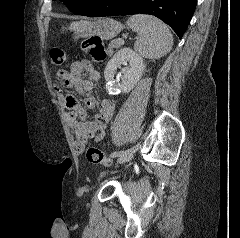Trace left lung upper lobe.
Returning a JSON list of instances; mask_svg holds the SVG:
<instances>
[{
    "mask_svg": "<svg viewBox=\"0 0 240 238\" xmlns=\"http://www.w3.org/2000/svg\"><path fill=\"white\" fill-rule=\"evenodd\" d=\"M66 4V6L74 12H81L88 5H90L94 0H62Z\"/></svg>",
    "mask_w": 240,
    "mask_h": 238,
    "instance_id": "left-lung-upper-lobe-1",
    "label": "left lung upper lobe"
}]
</instances>
